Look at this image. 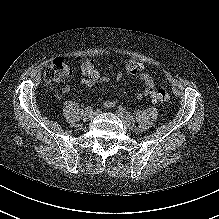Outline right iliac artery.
Returning a JSON list of instances; mask_svg holds the SVG:
<instances>
[{"label":"right iliac artery","mask_w":219,"mask_h":219,"mask_svg":"<svg viewBox=\"0 0 219 219\" xmlns=\"http://www.w3.org/2000/svg\"><path fill=\"white\" fill-rule=\"evenodd\" d=\"M93 111V108L91 106H87L85 108V112L88 113V112H92Z\"/></svg>","instance_id":"82829eb1"}]
</instances>
